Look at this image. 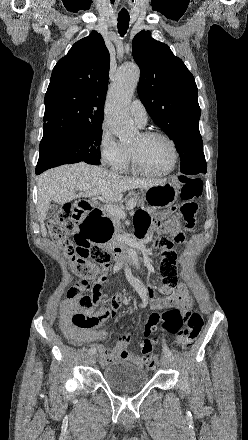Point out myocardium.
<instances>
[{
  "label": "myocardium",
  "instance_id": "f54148a6",
  "mask_svg": "<svg viewBox=\"0 0 248 440\" xmlns=\"http://www.w3.org/2000/svg\"><path fill=\"white\" fill-rule=\"evenodd\" d=\"M145 139H151V138H162L164 140H166L171 148H172V152H173V160L171 163V166L162 172H153V171H149L147 170L141 163L140 158L138 156V153L130 148V155H131V164H132V168L134 171H136L139 174L148 176V177H165L168 176L169 174H171L178 163L179 160V151H178V147L176 142L166 133L160 132V131H145L141 134Z\"/></svg>",
  "mask_w": 248,
  "mask_h": 440
}]
</instances>
